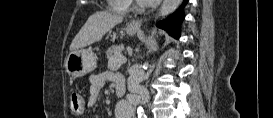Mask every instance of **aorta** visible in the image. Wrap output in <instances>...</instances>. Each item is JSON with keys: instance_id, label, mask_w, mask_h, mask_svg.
I'll return each mask as SVG.
<instances>
[{"instance_id": "aorta-1", "label": "aorta", "mask_w": 273, "mask_h": 118, "mask_svg": "<svg viewBox=\"0 0 273 118\" xmlns=\"http://www.w3.org/2000/svg\"><path fill=\"white\" fill-rule=\"evenodd\" d=\"M181 3V0H164L160 9L159 15L164 18L171 14ZM147 48L149 51L153 49V44H148ZM138 112H143V108L141 106L138 107Z\"/></svg>"}]
</instances>
